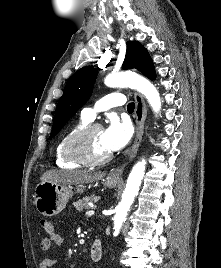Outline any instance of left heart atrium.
<instances>
[{"mask_svg": "<svg viewBox=\"0 0 221 268\" xmlns=\"http://www.w3.org/2000/svg\"><path fill=\"white\" fill-rule=\"evenodd\" d=\"M104 141L109 152L123 148L131 138V127L128 122L112 118L108 127L103 131Z\"/></svg>", "mask_w": 221, "mask_h": 268, "instance_id": "obj_1", "label": "left heart atrium"}]
</instances>
